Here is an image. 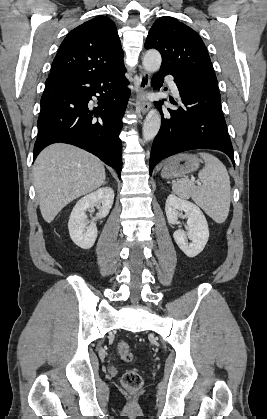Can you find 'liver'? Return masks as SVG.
Here are the masks:
<instances>
[{
    "instance_id": "1",
    "label": "liver",
    "mask_w": 267,
    "mask_h": 419,
    "mask_svg": "<svg viewBox=\"0 0 267 419\" xmlns=\"http://www.w3.org/2000/svg\"><path fill=\"white\" fill-rule=\"evenodd\" d=\"M33 174L40 211L47 223L67 204L99 188L106 178L97 157L62 143L50 145L38 155Z\"/></svg>"
}]
</instances>
